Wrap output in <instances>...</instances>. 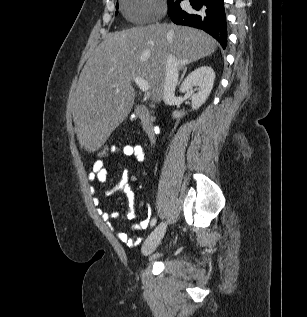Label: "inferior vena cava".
Listing matches in <instances>:
<instances>
[{
    "label": "inferior vena cava",
    "instance_id": "obj_1",
    "mask_svg": "<svg viewBox=\"0 0 307 317\" xmlns=\"http://www.w3.org/2000/svg\"><path fill=\"white\" fill-rule=\"evenodd\" d=\"M179 61L175 56L169 54L165 65V81L163 86V101L171 104L175 98V89L179 78Z\"/></svg>",
    "mask_w": 307,
    "mask_h": 317
}]
</instances>
